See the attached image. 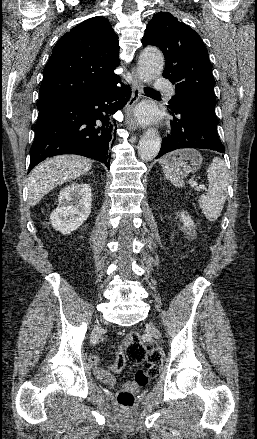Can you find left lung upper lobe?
I'll return each mask as SVG.
<instances>
[{
    "label": "left lung upper lobe",
    "mask_w": 257,
    "mask_h": 439,
    "mask_svg": "<svg viewBox=\"0 0 257 439\" xmlns=\"http://www.w3.org/2000/svg\"><path fill=\"white\" fill-rule=\"evenodd\" d=\"M142 44L158 46L165 56L163 77L176 89L170 109L196 105L215 115L212 65L201 37L193 29L169 12H159L148 23Z\"/></svg>",
    "instance_id": "obj_1"
}]
</instances>
